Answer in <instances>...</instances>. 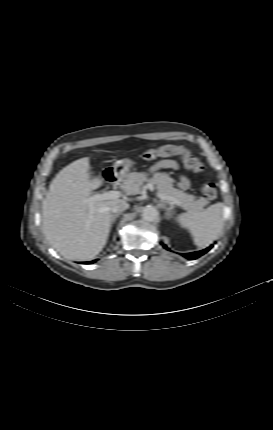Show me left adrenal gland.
<instances>
[{"label":"left adrenal gland","mask_w":273,"mask_h":430,"mask_svg":"<svg viewBox=\"0 0 273 430\" xmlns=\"http://www.w3.org/2000/svg\"><path fill=\"white\" fill-rule=\"evenodd\" d=\"M159 206H160L161 208H163V209H165V210H166L165 218H166L167 220H169V219L171 218V215H172V210H171V208H170V207H167V206H166V204H165V203H163V202H160Z\"/></svg>","instance_id":"obj_1"}]
</instances>
